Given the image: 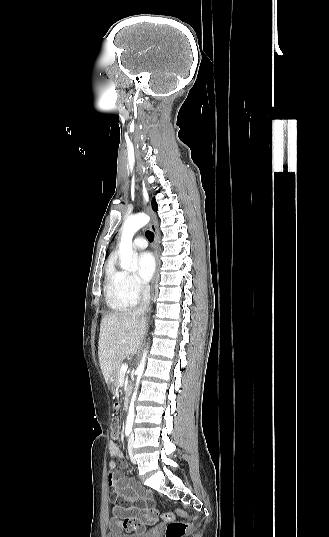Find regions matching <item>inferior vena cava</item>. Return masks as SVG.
<instances>
[{
  "mask_svg": "<svg viewBox=\"0 0 329 537\" xmlns=\"http://www.w3.org/2000/svg\"><path fill=\"white\" fill-rule=\"evenodd\" d=\"M150 303V287L149 285H144L142 287V300L137 309L138 313H143L148 309Z\"/></svg>",
  "mask_w": 329,
  "mask_h": 537,
  "instance_id": "obj_1",
  "label": "inferior vena cava"
}]
</instances>
